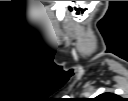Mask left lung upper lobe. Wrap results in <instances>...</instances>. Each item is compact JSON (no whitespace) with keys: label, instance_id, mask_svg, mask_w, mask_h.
Segmentation results:
<instances>
[{"label":"left lung upper lobe","instance_id":"5c2ea615","mask_svg":"<svg viewBox=\"0 0 128 101\" xmlns=\"http://www.w3.org/2000/svg\"><path fill=\"white\" fill-rule=\"evenodd\" d=\"M116 95L114 94H111V93H104V94H101L99 97H98V100H102V99H116Z\"/></svg>","mask_w":128,"mask_h":101}]
</instances>
